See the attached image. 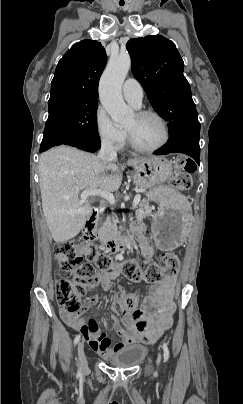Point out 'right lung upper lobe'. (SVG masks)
<instances>
[{"instance_id":"obj_1","label":"right lung upper lobe","mask_w":243,"mask_h":404,"mask_svg":"<svg viewBox=\"0 0 243 404\" xmlns=\"http://www.w3.org/2000/svg\"><path fill=\"white\" fill-rule=\"evenodd\" d=\"M107 55L97 41L83 40L59 60L51 83L49 106L62 102L98 101L99 78Z\"/></svg>"}]
</instances>
